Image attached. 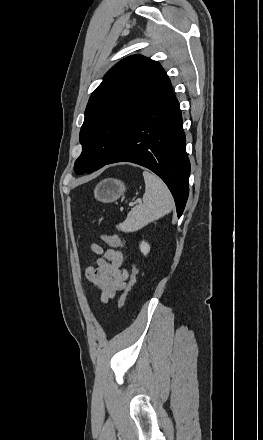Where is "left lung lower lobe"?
Returning a JSON list of instances; mask_svg holds the SVG:
<instances>
[{"instance_id": "1", "label": "left lung lower lobe", "mask_w": 263, "mask_h": 440, "mask_svg": "<svg viewBox=\"0 0 263 440\" xmlns=\"http://www.w3.org/2000/svg\"><path fill=\"white\" fill-rule=\"evenodd\" d=\"M182 126L179 103L168 78L138 112L120 148L105 164L132 162L153 171L171 191L178 217L186 205L190 175Z\"/></svg>"}]
</instances>
